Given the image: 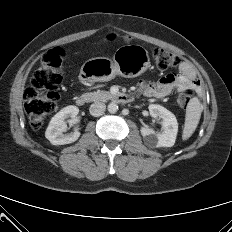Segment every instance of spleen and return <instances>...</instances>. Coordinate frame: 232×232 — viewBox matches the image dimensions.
I'll return each mask as SVG.
<instances>
[{
  "mask_svg": "<svg viewBox=\"0 0 232 232\" xmlns=\"http://www.w3.org/2000/svg\"><path fill=\"white\" fill-rule=\"evenodd\" d=\"M202 108L198 98H192L186 108L185 124L182 139L187 140L192 136L200 120Z\"/></svg>",
  "mask_w": 232,
  "mask_h": 232,
  "instance_id": "spleen-1",
  "label": "spleen"
}]
</instances>
